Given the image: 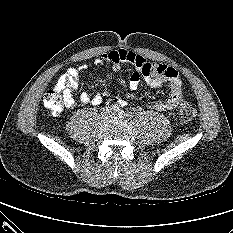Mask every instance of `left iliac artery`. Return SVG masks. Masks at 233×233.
Wrapping results in <instances>:
<instances>
[{
	"instance_id": "44dca946",
	"label": "left iliac artery",
	"mask_w": 233,
	"mask_h": 233,
	"mask_svg": "<svg viewBox=\"0 0 233 233\" xmlns=\"http://www.w3.org/2000/svg\"><path fill=\"white\" fill-rule=\"evenodd\" d=\"M125 116L128 118V119H131L133 117V113L132 112H127L125 113Z\"/></svg>"
}]
</instances>
